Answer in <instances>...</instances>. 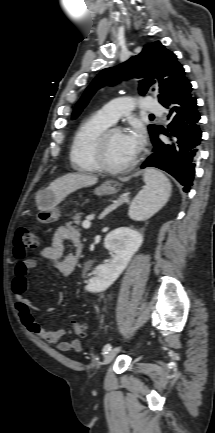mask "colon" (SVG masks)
Wrapping results in <instances>:
<instances>
[{
    "mask_svg": "<svg viewBox=\"0 0 215 433\" xmlns=\"http://www.w3.org/2000/svg\"><path fill=\"white\" fill-rule=\"evenodd\" d=\"M39 245V238L29 227H20L15 236V255L19 259H24L29 249H34ZM88 326L84 322L74 321L72 331L78 336L87 334Z\"/></svg>",
    "mask_w": 215,
    "mask_h": 433,
    "instance_id": "colon-1",
    "label": "colon"
}]
</instances>
